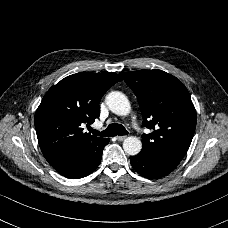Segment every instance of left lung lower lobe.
<instances>
[{"label": "left lung lower lobe", "instance_id": "1", "mask_svg": "<svg viewBox=\"0 0 228 228\" xmlns=\"http://www.w3.org/2000/svg\"><path fill=\"white\" fill-rule=\"evenodd\" d=\"M132 167L148 179L161 178L172 172L178 161L151 158L143 153L130 157Z\"/></svg>", "mask_w": 228, "mask_h": 228}]
</instances>
